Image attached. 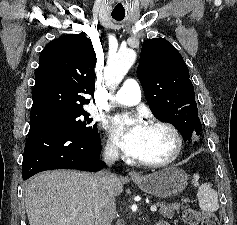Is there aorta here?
Instances as JSON below:
<instances>
[{
  "label": "aorta",
  "instance_id": "1",
  "mask_svg": "<svg viewBox=\"0 0 237 225\" xmlns=\"http://www.w3.org/2000/svg\"><path fill=\"white\" fill-rule=\"evenodd\" d=\"M136 59V53L132 49L120 50L110 57L105 67V79L108 86L115 88L126 75Z\"/></svg>",
  "mask_w": 237,
  "mask_h": 225
}]
</instances>
